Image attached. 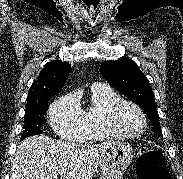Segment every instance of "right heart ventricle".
Returning a JSON list of instances; mask_svg holds the SVG:
<instances>
[{"mask_svg": "<svg viewBox=\"0 0 183 179\" xmlns=\"http://www.w3.org/2000/svg\"><path fill=\"white\" fill-rule=\"evenodd\" d=\"M121 100L119 94L109 87L92 88L91 104L83 110L85 133L82 141L93 142L116 138L104 126L103 118L107 109Z\"/></svg>", "mask_w": 183, "mask_h": 179, "instance_id": "1", "label": "right heart ventricle"}]
</instances>
